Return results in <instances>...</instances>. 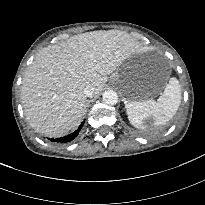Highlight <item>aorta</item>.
<instances>
[{"mask_svg":"<svg viewBox=\"0 0 205 205\" xmlns=\"http://www.w3.org/2000/svg\"><path fill=\"white\" fill-rule=\"evenodd\" d=\"M102 99L105 104L115 105L118 102V95L115 91L108 90L103 93Z\"/></svg>","mask_w":205,"mask_h":205,"instance_id":"obj_1","label":"aorta"}]
</instances>
